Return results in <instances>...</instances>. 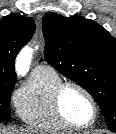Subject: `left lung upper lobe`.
Instances as JSON below:
<instances>
[{"label": "left lung upper lobe", "instance_id": "obj_1", "mask_svg": "<svg viewBox=\"0 0 116 134\" xmlns=\"http://www.w3.org/2000/svg\"><path fill=\"white\" fill-rule=\"evenodd\" d=\"M42 25L46 61L92 95L116 132V39L83 17L48 13Z\"/></svg>", "mask_w": 116, "mask_h": 134}]
</instances>
